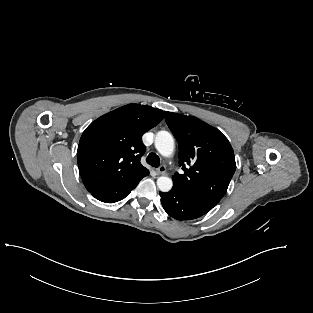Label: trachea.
Wrapping results in <instances>:
<instances>
[{
    "instance_id": "trachea-1",
    "label": "trachea",
    "mask_w": 313,
    "mask_h": 313,
    "mask_svg": "<svg viewBox=\"0 0 313 313\" xmlns=\"http://www.w3.org/2000/svg\"><path fill=\"white\" fill-rule=\"evenodd\" d=\"M146 161L148 164H150L151 166L156 167V168L159 167V165H160V159L155 153H150L147 156Z\"/></svg>"
}]
</instances>
